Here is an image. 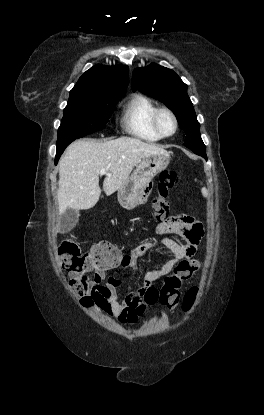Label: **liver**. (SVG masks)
<instances>
[{
    "instance_id": "6515ba94",
    "label": "liver",
    "mask_w": 264,
    "mask_h": 415,
    "mask_svg": "<svg viewBox=\"0 0 264 415\" xmlns=\"http://www.w3.org/2000/svg\"><path fill=\"white\" fill-rule=\"evenodd\" d=\"M164 154L163 148L136 138L120 137L104 142L78 140L70 144L59 163L58 210H87L98 202L99 172L105 169L103 191L110 196L129 178L144 157Z\"/></svg>"
}]
</instances>
